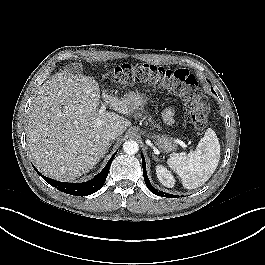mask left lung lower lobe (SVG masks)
<instances>
[{
	"instance_id": "obj_1",
	"label": "left lung lower lobe",
	"mask_w": 265,
	"mask_h": 265,
	"mask_svg": "<svg viewBox=\"0 0 265 265\" xmlns=\"http://www.w3.org/2000/svg\"><path fill=\"white\" fill-rule=\"evenodd\" d=\"M213 93H215L213 90H212ZM142 166H143V177H144V180H145V183H146V186L148 187V189L158 195V196H162V197H167V198H176V195H171V194H168V193H165V192H162V191H158L156 190L150 183L149 179H148V176H147V172H146V164H145V159H144V156L142 154Z\"/></svg>"
}]
</instances>
